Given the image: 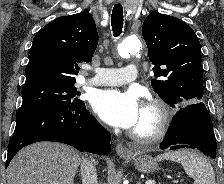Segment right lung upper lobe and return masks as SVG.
<instances>
[{
	"instance_id": "cb5924a9",
	"label": "right lung upper lobe",
	"mask_w": 224,
	"mask_h": 184,
	"mask_svg": "<svg viewBox=\"0 0 224 184\" xmlns=\"http://www.w3.org/2000/svg\"><path fill=\"white\" fill-rule=\"evenodd\" d=\"M98 44L91 14L82 11L59 17L34 37L25 84L36 81L75 83L78 63L90 62Z\"/></svg>"
}]
</instances>
